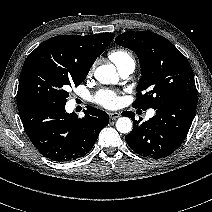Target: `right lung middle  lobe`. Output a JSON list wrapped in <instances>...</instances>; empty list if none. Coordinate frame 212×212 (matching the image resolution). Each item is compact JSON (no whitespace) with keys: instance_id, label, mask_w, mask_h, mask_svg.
<instances>
[{"instance_id":"dd1d6c3e","label":"right lung middle lobe","mask_w":212,"mask_h":212,"mask_svg":"<svg viewBox=\"0 0 212 212\" xmlns=\"http://www.w3.org/2000/svg\"><path fill=\"white\" fill-rule=\"evenodd\" d=\"M86 76L49 63H30L22 68L17 99H42L65 104L68 88L78 86Z\"/></svg>"}]
</instances>
